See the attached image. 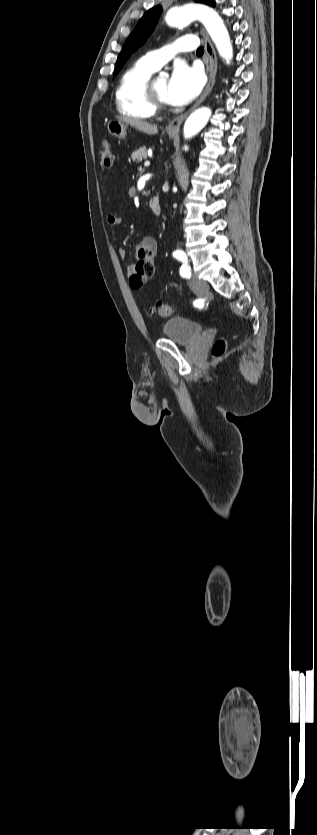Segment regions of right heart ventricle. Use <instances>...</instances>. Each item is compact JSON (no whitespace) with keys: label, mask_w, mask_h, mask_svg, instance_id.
<instances>
[{"label":"right heart ventricle","mask_w":317,"mask_h":835,"mask_svg":"<svg viewBox=\"0 0 317 835\" xmlns=\"http://www.w3.org/2000/svg\"><path fill=\"white\" fill-rule=\"evenodd\" d=\"M155 71L143 59L124 71L115 92L117 109L122 115L134 119H148L155 115L156 109L146 95L147 82Z\"/></svg>","instance_id":"obj_1"}]
</instances>
